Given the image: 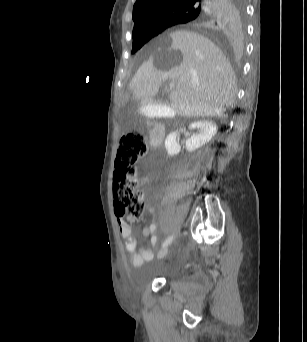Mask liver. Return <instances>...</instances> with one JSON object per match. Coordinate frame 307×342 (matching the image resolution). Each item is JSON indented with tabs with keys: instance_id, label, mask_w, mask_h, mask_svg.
Listing matches in <instances>:
<instances>
[{
	"instance_id": "6515ba94",
	"label": "liver",
	"mask_w": 307,
	"mask_h": 342,
	"mask_svg": "<svg viewBox=\"0 0 307 342\" xmlns=\"http://www.w3.org/2000/svg\"><path fill=\"white\" fill-rule=\"evenodd\" d=\"M169 38L145 57L129 84L132 96L154 98L162 82L172 80L176 88L169 100L177 116L226 118L224 106H232L236 92L235 74L226 56L214 42L196 32L176 30Z\"/></svg>"
}]
</instances>
